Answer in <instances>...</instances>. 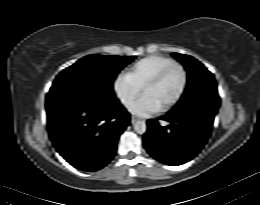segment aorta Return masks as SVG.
I'll list each match as a JSON object with an SVG mask.
<instances>
[{"mask_svg": "<svg viewBox=\"0 0 260 205\" xmlns=\"http://www.w3.org/2000/svg\"><path fill=\"white\" fill-rule=\"evenodd\" d=\"M147 126L146 123L142 120H138L134 123V130L138 134H144L146 132Z\"/></svg>", "mask_w": 260, "mask_h": 205, "instance_id": "762f6f07", "label": "aorta"}]
</instances>
